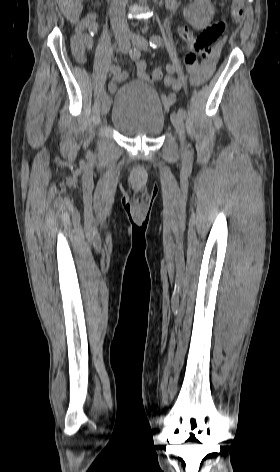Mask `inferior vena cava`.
<instances>
[{"instance_id": "1", "label": "inferior vena cava", "mask_w": 280, "mask_h": 472, "mask_svg": "<svg viewBox=\"0 0 280 472\" xmlns=\"http://www.w3.org/2000/svg\"><path fill=\"white\" fill-rule=\"evenodd\" d=\"M128 0H112L110 6V19L115 33H126L128 24L125 17V6Z\"/></svg>"}]
</instances>
